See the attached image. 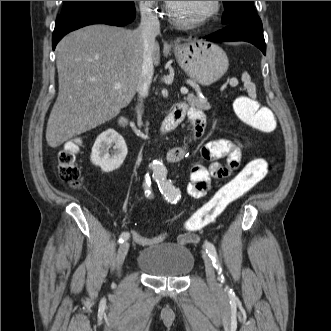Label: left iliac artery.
Returning a JSON list of instances; mask_svg holds the SVG:
<instances>
[{
    "label": "left iliac artery",
    "mask_w": 331,
    "mask_h": 331,
    "mask_svg": "<svg viewBox=\"0 0 331 331\" xmlns=\"http://www.w3.org/2000/svg\"><path fill=\"white\" fill-rule=\"evenodd\" d=\"M154 179L158 183L161 193L166 197V199L168 201H170L171 203H175V202H177V200H179V197H181L180 191H178V189H175V187L172 185L171 181H169L166 178L165 172L160 171V170L155 171ZM205 248H206V253L212 259L214 267L219 272V280L221 282H223L224 277L221 274L222 268L219 264L217 252H216L214 245L211 242L206 241Z\"/></svg>",
    "instance_id": "obj_1"
}]
</instances>
